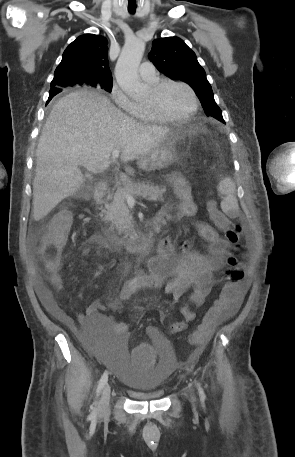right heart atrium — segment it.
Returning <instances> with one entry per match:
<instances>
[{"label":"right heart atrium","instance_id":"d8ad5b80","mask_svg":"<svg viewBox=\"0 0 295 457\" xmlns=\"http://www.w3.org/2000/svg\"><path fill=\"white\" fill-rule=\"evenodd\" d=\"M110 93L111 98L119 108L132 116L136 115L138 105L127 96L118 84H113Z\"/></svg>","mask_w":295,"mask_h":457}]
</instances>
